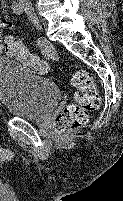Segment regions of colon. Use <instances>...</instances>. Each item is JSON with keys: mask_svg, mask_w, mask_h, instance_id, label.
I'll list each match as a JSON object with an SVG mask.
<instances>
[{"mask_svg": "<svg viewBox=\"0 0 123 201\" xmlns=\"http://www.w3.org/2000/svg\"><path fill=\"white\" fill-rule=\"evenodd\" d=\"M2 46L9 56L21 61L29 70L40 73L48 71V64L37 55L29 53L16 37L6 34ZM72 84L76 87L74 103L67 105L55 118L54 130L59 136L85 126L89 122L90 113L100 105L98 89L87 71L75 72Z\"/></svg>", "mask_w": 123, "mask_h": 201, "instance_id": "obj_1", "label": "colon"}]
</instances>
